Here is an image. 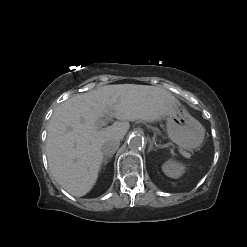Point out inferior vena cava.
<instances>
[{
	"instance_id": "1",
	"label": "inferior vena cava",
	"mask_w": 247,
	"mask_h": 247,
	"mask_svg": "<svg viewBox=\"0 0 247 247\" xmlns=\"http://www.w3.org/2000/svg\"><path fill=\"white\" fill-rule=\"evenodd\" d=\"M120 141L117 139H110L103 143L101 150L103 155L112 156L119 148Z\"/></svg>"
}]
</instances>
